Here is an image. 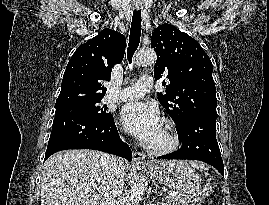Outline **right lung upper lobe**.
<instances>
[{
    "instance_id": "1",
    "label": "right lung upper lobe",
    "mask_w": 269,
    "mask_h": 205,
    "mask_svg": "<svg viewBox=\"0 0 269 205\" xmlns=\"http://www.w3.org/2000/svg\"><path fill=\"white\" fill-rule=\"evenodd\" d=\"M125 37L108 28L80 45L69 60L55 107L101 100L115 64L122 62Z\"/></svg>"
}]
</instances>
